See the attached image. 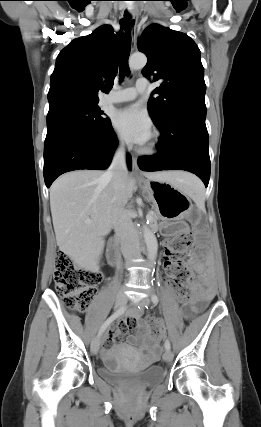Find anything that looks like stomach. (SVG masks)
Returning <instances> with one entry per match:
<instances>
[{
  "mask_svg": "<svg viewBox=\"0 0 261 427\" xmlns=\"http://www.w3.org/2000/svg\"><path fill=\"white\" fill-rule=\"evenodd\" d=\"M140 187L148 195L159 218L163 221L182 219L192 208L187 193L173 184L142 180Z\"/></svg>",
  "mask_w": 261,
  "mask_h": 427,
  "instance_id": "obj_1",
  "label": "stomach"
}]
</instances>
